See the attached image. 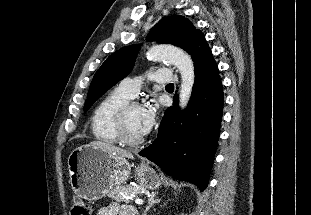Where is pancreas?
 Masks as SVG:
<instances>
[{"label":"pancreas","mask_w":311,"mask_h":215,"mask_svg":"<svg viewBox=\"0 0 311 215\" xmlns=\"http://www.w3.org/2000/svg\"><path fill=\"white\" fill-rule=\"evenodd\" d=\"M140 193L139 187L119 186L111 191L110 196L117 202L128 203L132 196L137 197Z\"/></svg>","instance_id":"obj_1"}]
</instances>
